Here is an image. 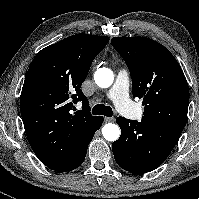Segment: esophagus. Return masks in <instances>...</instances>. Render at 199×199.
I'll return each instance as SVG.
<instances>
[{"label":"esophagus","instance_id":"1","mask_svg":"<svg viewBox=\"0 0 199 199\" xmlns=\"http://www.w3.org/2000/svg\"><path fill=\"white\" fill-rule=\"evenodd\" d=\"M114 118L113 117H105L104 118V122L109 123V122H113Z\"/></svg>","mask_w":199,"mask_h":199}]
</instances>
